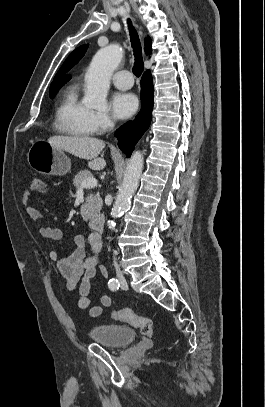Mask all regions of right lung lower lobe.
Segmentation results:
<instances>
[{
    "instance_id": "1",
    "label": "right lung lower lobe",
    "mask_w": 265,
    "mask_h": 407,
    "mask_svg": "<svg viewBox=\"0 0 265 407\" xmlns=\"http://www.w3.org/2000/svg\"><path fill=\"white\" fill-rule=\"evenodd\" d=\"M141 111L133 121H129L116 130L120 149L130 157L136 143L149 128L153 109V80L149 70L141 79Z\"/></svg>"
}]
</instances>
